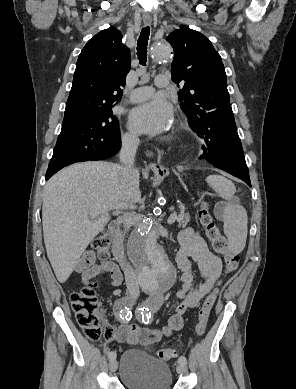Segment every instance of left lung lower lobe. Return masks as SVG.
<instances>
[{
  "instance_id": "obj_1",
  "label": "left lung lower lobe",
  "mask_w": 296,
  "mask_h": 389,
  "mask_svg": "<svg viewBox=\"0 0 296 389\" xmlns=\"http://www.w3.org/2000/svg\"><path fill=\"white\" fill-rule=\"evenodd\" d=\"M198 130L203 143L200 147L199 159L206 160L215 167L242 179L251 187L231 105L208 113Z\"/></svg>"
}]
</instances>
